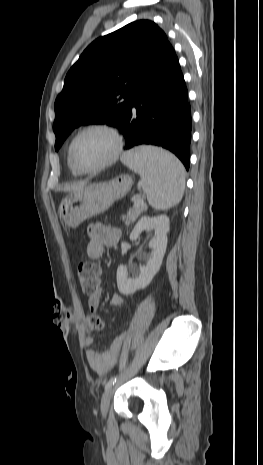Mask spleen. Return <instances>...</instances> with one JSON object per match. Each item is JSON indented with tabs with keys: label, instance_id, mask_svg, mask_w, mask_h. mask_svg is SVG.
Segmentation results:
<instances>
[{
	"label": "spleen",
	"instance_id": "1",
	"mask_svg": "<svg viewBox=\"0 0 263 465\" xmlns=\"http://www.w3.org/2000/svg\"><path fill=\"white\" fill-rule=\"evenodd\" d=\"M122 161L139 173L149 204L157 210L177 205L185 189V169L173 154L161 148L141 146L125 153Z\"/></svg>",
	"mask_w": 263,
	"mask_h": 465
}]
</instances>
